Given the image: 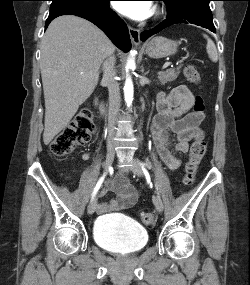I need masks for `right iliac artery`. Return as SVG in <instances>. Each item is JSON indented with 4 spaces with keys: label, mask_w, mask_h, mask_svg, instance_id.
<instances>
[{
    "label": "right iliac artery",
    "mask_w": 250,
    "mask_h": 285,
    "mask_svg": "<svg viewBox=\"0 0 250 285\" xmlns=\"http://www.w3.org/2000/svg\"><path fill=\"white\" fill-rule=\"evenodd\" d=\"M104 178H105V175H103L99 181L97 182L95 188H94V191L92 193V198L95 196V194L97 193V191L99 190L100 186L102 185L103 181H104Z\"/></svg>",
    "instance_id": "right-iliac-artery-1"
}]
</instances>
